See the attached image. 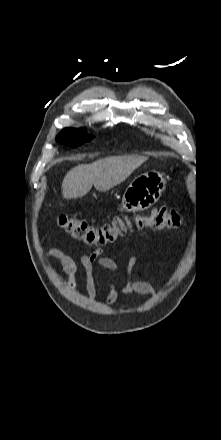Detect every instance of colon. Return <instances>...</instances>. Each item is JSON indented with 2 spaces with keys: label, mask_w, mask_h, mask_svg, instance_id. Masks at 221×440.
<instances>
[{
  "label": "colon",
  "mask_w": 221,
  "mask_h": 440,
  "mask_svg": "<svg viewBox=\"0 0 221 440\" xmlns=\"http://www.w3.org/2000/svg\"><path fill=\"white\" fill-rule=\"evenodd\" d=\"M57 221L72 238L91 247H102L115 242L133 228L175 229L181 224L182 217L174 209L159 206L152 208L146 215H117L110 223L97 227L69 214H60Z\"/></svg>",
  "instance_id": "1"
}]
</instances>
